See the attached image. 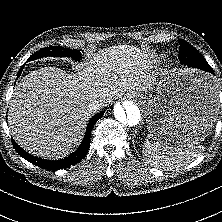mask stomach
Wrapping results in <instances>:
<instances>
[{"mask_svg": "<svg viewBox=\"0 0 222 222\" xmlns=\"http://www.w3.org/2000/svg\"><path fill=\"white\" fill-rule=\"evenodd\" d=\"M130 95L145 106L149 136L176 148L204 141L218 114L211 78L194 70L165 71L155 95L136 91Z\"/></svg>", "mask_w": 222, "mask_h": 222, "instance_id": "stomach-1", "label": "stomach"}]
</instances>
